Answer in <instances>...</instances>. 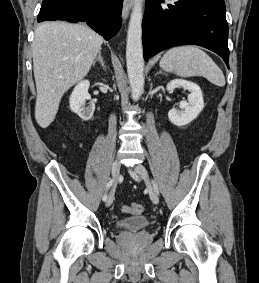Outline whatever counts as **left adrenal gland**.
<instances>
[{"label":"left adrenal gland","instance_id":"a2214340","mask_svg":"<svg viewBox=\"0 0 259 283\" xmlns=\"http://www.w3.org/2000/svg\"><path fill=\"white\" fill-rule=\"evenodd\" d=\"M158 74H163V72L160 70L158 73H156V75H158Z\"/></svg>","mask_w":259,"mask_h":283}]
</instances>
